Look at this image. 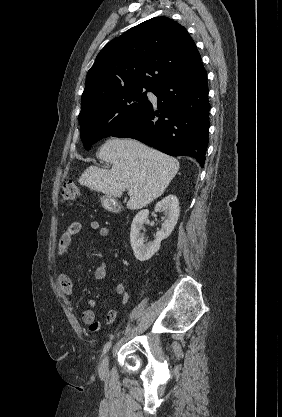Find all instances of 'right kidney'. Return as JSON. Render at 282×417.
Masks as SVG:
<instances>
[{
    "mask_svg": "<svg viewBox=\"0 0 282 417\" xmlns=\"http://www.w3.org/2000/svg\"><path fill=\"white\" fill-rule=\"evenodd\" d=\"M155 211H164L165 221L162 223L160 231H157L155 241H153V243L144 245L145 237L143 233H140L141 229H143L145 219H147L149 215L148 209H142V211H139L132 221L130 243L133 249L134 257H136L138 261H149V259H151V257L159 251L161 241H163V239H167V237L171 235L175 225H177L180 213L179 200L177 196H175V194H168V196L159 200L155 206Z\"/></svg>",
    "mask_w": 282,
    "mask_h": 417,
    "instance_id": "1",
    "label": "right kidney"
}]
</instances>
